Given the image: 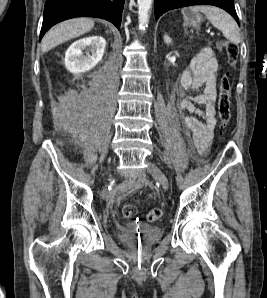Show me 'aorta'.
<instances>
[{
  "label": "aorta",
  "instance_id": "aorta-1",
  "mask_svg": "<svg viewBox=\"0 0 267 298\" xmlns=\"http://www.w3.org/2000/svg\"><path fill=\"white\" fill-rule=\"evenodd\" d=\"M153 0H137L138 3V20L141 30H145L149 22V11L152 7Z\"/></svg>",
  "mask_w": 267,
  "mask_h": 298
}]
</instances>
